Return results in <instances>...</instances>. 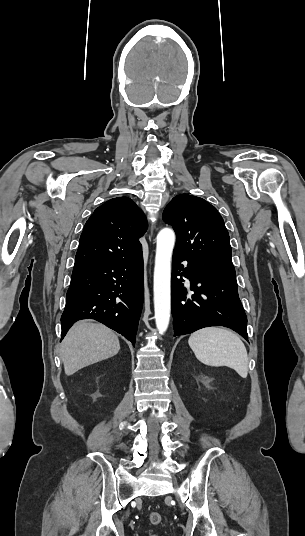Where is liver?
I'll return each mask as SVG.
<instances>
[{
  "mask_svg": "<svg viewBox=\"0 0 305 536\" xmlns=\"http://www.w3.org/2000/svg\"><path fill=\"white\" fill-rule=\"evenodd\" d=\"M119 350V340L113 330L103 324L81 320L76 322L65 336L60 348V358L66 376H72L85 366L116 356Z\"/></svg>",
  "mask_w": 305,
  "mask_h": 536,
  "instance_id": "6515ba94",
  "label": "liver"
}]
</instances>
